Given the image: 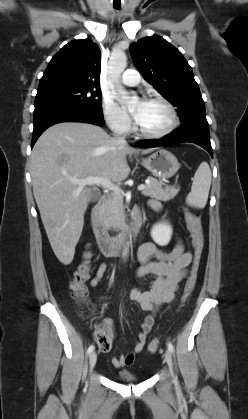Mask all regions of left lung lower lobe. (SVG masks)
<instances>
[{
	"label": "left lung lower lobe",
	"mask_w": 248,
	"mask_h": 419,
	"mask_svg": "<svg viewBox=\"0 0 248 419\" xmlns=\"http://www.w3.org/2000/svg\"><path fill=\"white\" fill-rule=\"evenodd\" d=\"M182 142L195 143L206 149L211 157H213V151L210 143L209 125L206 120V115H197L185 122H182L178 129L163 138L138 141L136 144L142 148H151L160 145H171Z\"/></svg>",
	"instance_id": "left-lung-lower-lobe-1"
}]
</instances>
